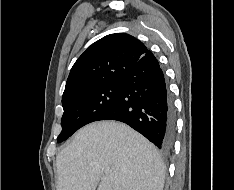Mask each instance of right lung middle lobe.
Returning <instances> with one entry per match:
<instances>
[{
    "instance_id": "1",
    "label": "right lung middle lobe",
    "mask_w": 234,
    "mask_h": 190,
    "mask_svg": "<svg viewBox=\"0 0 234 190\" xmlns=\"http://www.w3.org/2000/svg\"><path fill=\"white\" fill-rule=\"evenodd\" d=\"M120 88L121 82L117 81L76 93L63 100L62 131L57 141L66 140L79 128L97 121L113 106Z\"/></svg>"
}]
</instances>
